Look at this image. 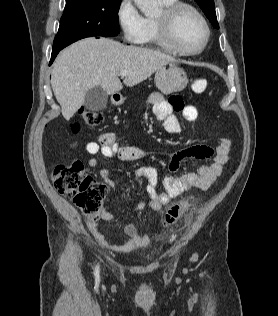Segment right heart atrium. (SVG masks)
<instances>
[{
    "label": "right heart atrium",
    "instance_id": "d8ad5b80",
    "mask_svg": "<svg viewBox=\"0 0 278 316\" xmlns=\"http://www.w3.org/2000/svg\"><path fill=\"white\" fill-rule=\"evenodd\" d=\"M116 17L125 41L139 43L144 31V17L133 0H120Z\"/></svg>",
    "mask_w": 278,
    "mask_h": 316
}]
</instances>
